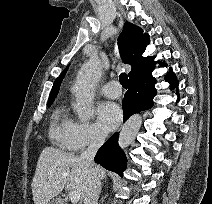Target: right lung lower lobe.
<instances>
[{"instance_id": "1", "label": "right lung lower lobe", "mask_w": 212, "mask_h": 204, "mask_svg": "<svg viewBox=\"0 0 212 204\" xmlns=\"http://www.w3.org/2000/svg\"><path fill=\"white\" fill-rule=\"evenodd\" d=\"M152 70L146 71L136 79L129 81V90L126 92L122 101L124 121L136 112L147 110L153 106V98L156 95L155 78L152 76ZM166 81L174 88L178 86V81L172 70L166 76ZM119 133H115L98 150L94 160L105 169L113 171L123 176L126 169L127 159L123 150L118 145Z\"/></svg>"}]
</instances>
